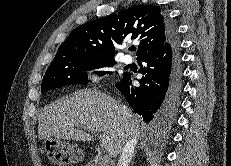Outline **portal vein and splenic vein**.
I'll list each match as a JSON object with an SVG mask.
<instances>
[{
  "label": "portal vein and splenic vein",
  "instance_id": "18ae733b",
  "mask_svg": "<svg viewBox=\"0 0 231 166\" xmlns=\"http://www.w3.org/2000/svg\"><path fill=\"white\" fill-rule=\"evenodd\" d=\"M94 134H96L97 132H93ZM101 161L102 163H104L106 166H109V164L111 163V159L108 155H103L101 157Z\"/></svg>",
  "mask_w": 231,
  "mask_h": 166
}]
</instances>
